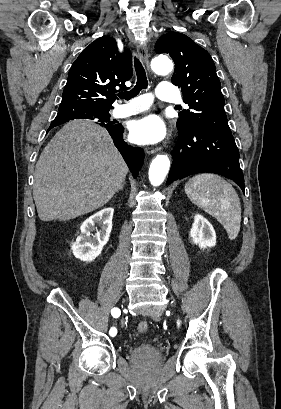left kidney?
Listing matches in <instances>:
<instances>
[{"label":"left kidney","instance_id":"1","mask_svg":"<svg viewBox=\"0 0 281 409\" xmlns=\"http://www.w3.org/2000/svg\"><path fill=\"white\" fill-rule=\"evenodd\" d=\"M190 237L192 243L199 245L200 249H207V247H215L216 245V233L211 223L202 215H195Z\"/></svg>","mask_w":281,"mask_h":409}]
</instances>
